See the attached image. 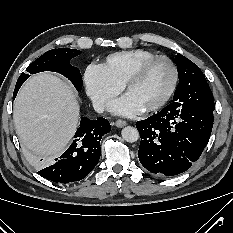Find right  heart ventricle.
Wrapping results in <instances>:
<instances>
[{"mask_svg":"<svg viewBox=\"0 0 233 233\" xmlns=\"http://www.w3.org/2000/svg\"><path fill=\"white\" fill-rule=\"evenodd\" d=\"M154 56V53L145 49L125 50L109 55L103 66L110 77L122 86L140 63Z\"/></svg>","mask_w":233,"mask_h":233,"instance_id":"obj_1","label":"right heart ventricle"}]
</instances>
